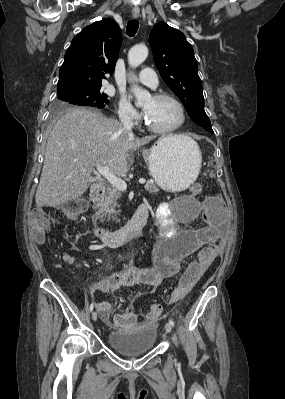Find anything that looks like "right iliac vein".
<instances>
[{"instance_id":"63e3f726","label":"right iliac vein","mask_w":285,"mask_h":399,"mask_svg":"<svg viewBox=\"0 0 285 399\" xmlns=\"http://www.w3.org/2000/svg\"><path fill=\"white\" fill-rule=\"evenodd\" d=\"M97 318H98V314H97V312L95 311V312H93V314H92V320H93V321H96Z\"/></svg>"}]
</instances>
